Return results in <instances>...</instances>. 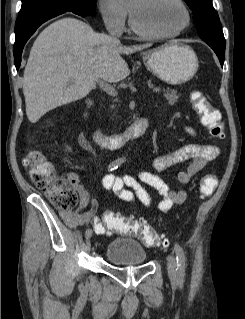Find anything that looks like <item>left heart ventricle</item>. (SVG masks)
Returning <instances> with one entry per match:
<instances>
[{
	"label": "left heart ventricle",
	"instance_id": "b2bd125f",
	"mask_svg": "<svg viewBox=\"0 0 245 319\" xmlns=\"http://www.w3.org/2000/svg\"><path fill=\"white\" fill-rule=\"evenodd\" d=\"M127 5L140 27L150 32H174L185 22L184 11L174 0H129Z\"/></svg>",
	"mask_w": 245,
	"mask_h": 319
}]
</instances>
